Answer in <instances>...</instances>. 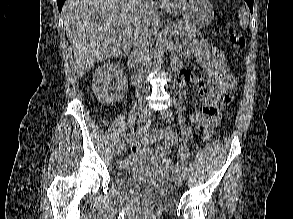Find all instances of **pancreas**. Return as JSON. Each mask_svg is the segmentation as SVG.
Returning a JSON list of instances; mask_svg holds the SVG:
<instances>
[{
    "label": "pancreas",
    "mask_w": 293,
    "mask_h": 219,
    "mask_svg": "<svg viewBox=\"0 0 293 219\" xmlns=\"http://www.w3.org/2000/svg\"><path fill=\"white\" fill-rule=\"evenodd\" d=\"M175 29L181 36L195 37L196 35H198L197 27L188 22L177 21Z\"/></svg>",
    "instance_id": "obj_1"
}]
</instances>
